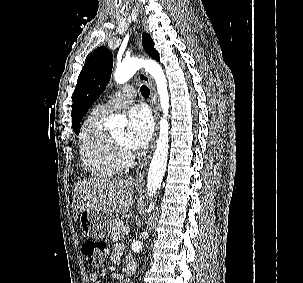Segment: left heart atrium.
Returning a JSON list of instances; mask_svg holds the SVG:
<instances>
[{"label": "left heart atrium", "instance_id": "left-heart-atrium-1", "mask_svg": "<svg viewBox=\"0 0 303 283\" xmlns=\"http://www.w3.org/2000/svg\"><path fill=\"white\" fill-rule=\"evenodd\" d=\"M127 119L124 144L131 151H139L148 144L152 136V118L146 108L135 106L128 112Z\"/></svg>", "mask_w": 303, "mask_h": 283}]
</instances>
